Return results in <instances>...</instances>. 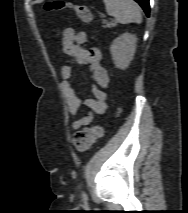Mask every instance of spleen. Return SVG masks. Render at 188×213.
I'll return each mask as SVG.
<instances>
[{"label": "spleen", "instance_id": "spleen-1", "mask_svg": "<svg viewBox=\"0 0 188 213\" xmlns=\"http://www.w3.org/2000/svg\"><path fill=\"white\" fill-rule=\"evenodd\" d=\"M109 15L122 23L142 22L140 6L134 0H103Z\"/></svg>", "mask_w": 188, "mask_h": 213}]
</instances>
